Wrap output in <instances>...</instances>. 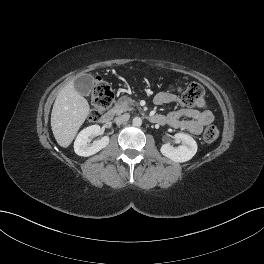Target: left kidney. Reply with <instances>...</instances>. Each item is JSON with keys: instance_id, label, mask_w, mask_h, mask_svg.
I'll list each match as a JSON object with an SVG mask.
<instances>
[{"instance_id": "left-kidney-1", "label": "left kidney", "mask_w": 264, "mask_h": 264, "mask_svg": "<svg viewBox=\"0 0 264 264\" xmlns=\"http://www.w3.org/2000/svg\"><path fill=\"white\" fill-rule=\"evenodd\" d=\"M177 140L182 141V145L173 147L169 143L163 144L160 148L162 155L174 162H186L192 159L197 152V143L189 135L184 133L175 134Z\"/></svg>"}]
</instances>
